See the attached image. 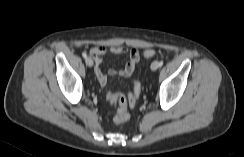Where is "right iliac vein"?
Returning <instances> with one entry per match:
<instances>
[{
  "label": "right iliac vein",
  "instance_id": "1",
  "mask_svg": "<svg viewBox=\"0 0 244 157\" xmlns=\"http://www.w3.org/2000/svg\"><path fill=\"white\" fill-rule=\"evenodd\" d=\"M85 62H86V65L88 67H92L93 66V60L91 58H89V57L86 58Z\"/></svg>",
  "mask_w": 244,
  "mask_h": 157
}]
</instances>
